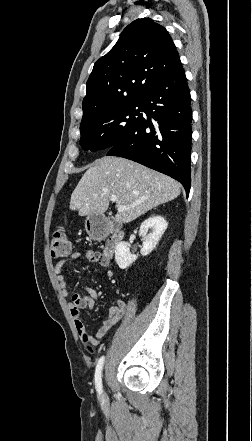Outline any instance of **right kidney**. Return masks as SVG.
<instances>
[{
    "label": "right kidney",
    "mask_w": 252,
    "mask_h": 441,
    "mask_svg": "<svg viewBox=\"0 0 252 441\" xmlns=\"http://www.w3.org/2000/svg\"><path fill=\"white\" fill-rule=\"evenodd\" d=\"M167 225L166 220L160 215L152 216L141 224L139 229L140 236L143 237L149 228L152 230L149 235L143 238V246L140 251L142 256H146L154 250L167 229ZM137 257V255L130 253L126 242H119L116 246L115 260L119 268H128L135 262Z\"/></svg>",
    "instance_id": "right-kidney-1"
}]
</instances>
